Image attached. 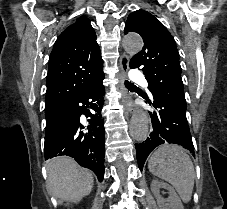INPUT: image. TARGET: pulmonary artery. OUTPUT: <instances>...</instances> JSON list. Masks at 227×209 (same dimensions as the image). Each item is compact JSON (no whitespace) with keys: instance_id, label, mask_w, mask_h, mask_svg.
<instances>
[{"instance_id":"1","label":"pulmonary artery","mask_w":227,"mask_h":209,"mask_svg":"<svg viewBox=\"0 0 227 209\" xmlns=\"http://www.w3.org/2000/svg\"><path fill=\"white\" fill-rule=\"evenodd\" d=\"M126 78H131V83H142L144 78V73L140 70H132L131 73H126Z\"/></svg>"}]
</instances>
